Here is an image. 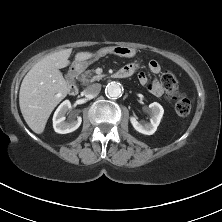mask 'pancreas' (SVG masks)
<instances>
[{
    "instance_id": "cf45deb5",
    "label": "pancreas",
    "mask_w": 222,
    "mask_h": 222,
    "mask_svg": "<svg viewBox=\"0 0 222 222\" xmlns=\"http://www.w3.org/2000/svg\"><path fill=\"white\" fill-rule=\"evenodd\" d=\"M93 72L94 70H87L81 75L80 81L82 82V84L87 85L89 83L102 79V75H94Z\"/></svg>"
}]
</instances>
